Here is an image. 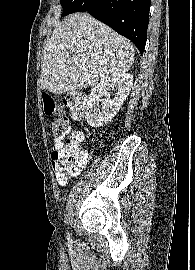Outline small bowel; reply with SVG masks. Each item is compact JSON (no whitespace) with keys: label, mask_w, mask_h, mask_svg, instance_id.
I'll use <instances>...</instances> for the list:
<instances>
[{"label":"small bowel","mask_w":195,"mask_h":270,"mask_svg":"<svg viewBox=\"0 0 195 270\" xmlns=\"http://www.w3.org/2000/svg\"><path fill=\"white\" fill-rule=\"evenodd\" d=\"M71 130V127H69L68 128V131H67V133L69 132ZM79 133V132H78ZM80 135L82 136V134L80 133ZM83 137V136H82ZM61 138H56L55 139V146L54 147H56V146H60L61 145Z\"/></svg>","instance_id":"c3829d8e"}]
</instances>
